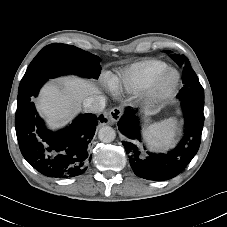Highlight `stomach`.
Masks as SVG:
<instances>
[{"label": "stomach", "mask_w": 227, "mask_h": 227, "mask_svg": "<svg viewBox=\"0 0 227 227\" xmlns=\"http://www.w3.org/2000/svg\"><path fill=\"white\" fill-rule=\"evenodd\" d=\"M153 126H149L148 129L152 128Z\"/></svg>", "instance_id": "obj_1"}]
</instances>
